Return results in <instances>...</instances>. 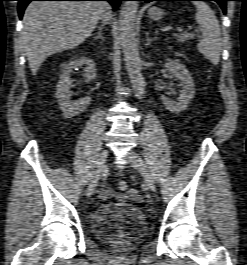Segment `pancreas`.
<instances>
[{
	"instance_id": "obj_1",
	"label": "pancreas",
	"mask_w": 247,
	"mask_h": 265,
	"mask_svg": "<svg viewBox=\"0 0 247 265\" xmlns=\"http://www.w3.org/2000/svg\"><path fill=\"white\" fill-rule=\"evenodd\" d=\"M176 38L178 39L179 42H184L186 40L194 39V35L183 33V34H180V35H176Z\"/></svg>"
}]
</instances>
